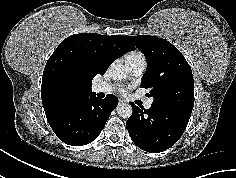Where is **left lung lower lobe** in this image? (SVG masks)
I'll list each match as a JSON object with an SVG mask.
<instances>
[{"mask_svg": "<svg viewBox=\"0 0 236 178\" xmlns=\"http://www.w3.org/2000/svg\"><path fill=\"white\" fill-rule=\"evenodd\" d=\"M133 113L126 122L132 141L142 150L160 153L172 147L184 133L191 112L152 104L150 109L131 103Z\"/></svg>", "mask_w": 236, "mask_h": 178, "instance_id": "1", "label": "left lung lower lobe"}]
</instances>
